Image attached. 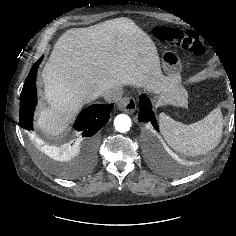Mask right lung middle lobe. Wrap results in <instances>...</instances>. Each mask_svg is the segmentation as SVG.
Wrapping results in <instances>:
<instances>
[{"label":"right lung middle lobe","mask_w":236,"mask_h":236,"mask_svg":"<svg viewBox=\"0 0 236 236\" xmlns=\"http://www.w3.org/2000/svg\"><path fill=\"white\" fill-rule=\"evenodd\" d=\"M33 142H34V144L36 145V147H37L38 149H40V148H39V143H37L36 141H33ZM39 153H40V152H39ZM90 159L93 160V156H91ZM61 173H62V174H68V173H65V172H61Z\"/></svg>","instance_id":"dd1d6c3e"}]
</instances>
